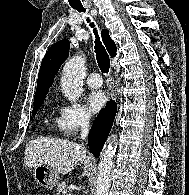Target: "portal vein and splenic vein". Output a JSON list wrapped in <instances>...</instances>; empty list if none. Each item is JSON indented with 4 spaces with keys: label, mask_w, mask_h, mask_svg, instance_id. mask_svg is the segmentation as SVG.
I'll return each mask as SVG.
<instances>
[{
    "label": "portal vein and splenic vein",
    "mask_w": 189,
    "mask_h": 195,
    "mask_svg": "<svg viewBox=\"0 0 189 195\" xmlns=\"http://www.w3.org/2000/svg\"><path fill=\"white\" fill-rule=\"evenodd\" d=\"M67 195H72L71 193H68Z\"/></svg>",
    "instance_id": "18ae733b"
}]
</instances>
